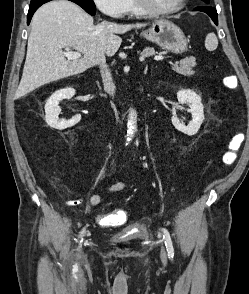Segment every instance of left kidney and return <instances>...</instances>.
I'll return each instance as SVG.
<instances>
[{
	"mask_svg": "<svg viewBox=\"0 0 249 294\" xmlns=\"http://www.w3.org/2000/svg\"><path fill=\"white\" fill-rule=\"evenodd\" d=\"M177 99L180 104H187L189 106L187 111L192 114V120L186 126L179 121L177 116H172V124L178 131L184 134L189 136L196 134L204 121V107L201 97L192 90L182 89L177 92Z\"/></svg>",
	"mask_w": 249,
	"mask_h": 294,
	"instance_id": "left-kidney-1",
	"label": "left kidney"
}]
</instances>
